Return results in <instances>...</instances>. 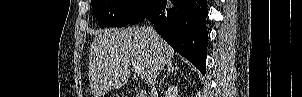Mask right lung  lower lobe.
I'll return each instance as SVG.
<instances>
[{
    "label": "right lung lower lobe",
    "instance_id": "98d812e1",
    "mask_svg": "<svg viewBox=\"0 0 302 97\" xmlns=\"http://www.w3.org/2000/svg\"><path fill=\"white\" fill-rule=\"evenodd\" d=\"M207 0H149L129 23L148 18L159 34L204 75L208 34Z\"/></svg>",
    "mask_w": 302,
    "mask_h": 97
}]
</instances>
